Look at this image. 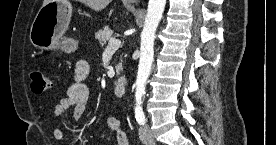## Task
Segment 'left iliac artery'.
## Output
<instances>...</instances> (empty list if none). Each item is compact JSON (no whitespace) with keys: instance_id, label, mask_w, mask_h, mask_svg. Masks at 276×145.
Returning <instances> with one entry per match:
<instances>
[{"instance_id":"1","label":"left iliac artery","mask_w":276,"mask_h":145,"mask_svg":"<svg viewBox=\"0 0 276 145\" xmlns=\"http://www.w3.org/2000/svg\"><path fill=\"white\" fill-rule=\"evenodd\" d=\"M135 118L138 124L143 125L145 123L146 119L142 107H135Z\"/></svg>"}]
</instances>
